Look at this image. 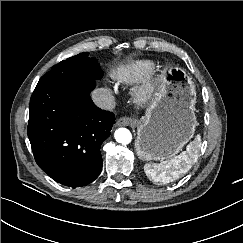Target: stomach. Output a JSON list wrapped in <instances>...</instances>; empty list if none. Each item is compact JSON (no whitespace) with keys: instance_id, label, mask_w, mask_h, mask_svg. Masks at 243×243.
I'll return each mask as SVG.
<instances>
[{"instance_id":"0dacf381","label":"stomach","mask_w":243,"mask_h":243,"mask_svg":"<svg viewBox=\"0 0 243 243\" xmlns=\"http://www.w3.org/2000/svg\"><path fill=\"white\" fill-rule=\"evenodd\" d=\"M145 115L137 121L136 153L145 161L169 159L193 137L195 85L179 67L165 68Z\"/></svg>"}]
</instances>
